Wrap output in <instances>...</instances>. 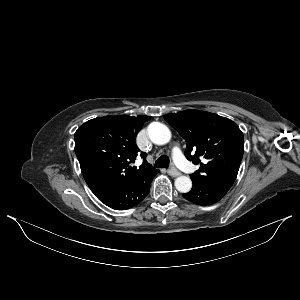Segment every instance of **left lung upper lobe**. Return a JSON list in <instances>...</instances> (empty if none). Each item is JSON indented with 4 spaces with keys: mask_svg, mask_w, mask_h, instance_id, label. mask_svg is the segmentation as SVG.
Wrapping results in <instances>:
<instances>
[{
    "mask_svg": "<svg viewBox=\"0 0 300 300\" xmlns=\"http://www.w3.org/2000/svg\"><path fill=\"white\" fill-rule=\"evenodd\" d=\"M164 119L185 139V156L200 168L193 182L228 191L233 185L244 151V137L228 118L201 110L170 113ZM203 157V163L200 160Z\"/></svg>",
    "mask_w": 300,
    "mask_h": 300,
    "instance_id": "obj_1",
    "label": "left lung upper lobe"
}]
</instances>
